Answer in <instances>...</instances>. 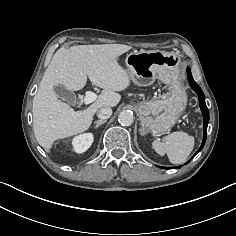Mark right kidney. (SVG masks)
I'll return each instance as SVG.
<instances>
[{
    "instance_id": "obj_1",
    "label": "right kidney",
    "mask_w": 236,
    "mask_h": 236,
    "mask_svg": "<svg viewBox=\"0 0 236 236\" xmlns=\"http://www.w3.org/2000/svg\"><path fill=\"white\" fill-rule=\"evenodd\" d=\"M93 142V135L86 133L75 137L72 141L73 149L77 153L85 152Z\"/></svg>"
}]
</instances>
